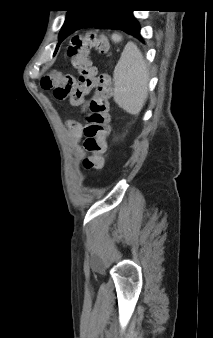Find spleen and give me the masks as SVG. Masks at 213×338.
<instances>
[{"mask_svg": "<svg viewBox=\"0 0 213 338\" xmlns=\"http://www.w3.org/2000/svg\"><path fill=\"white\" fill-rule=\"evenodd\" d=\"M114 101L129 114H139L148 97L149 73L141 51L128 42L114 73Z\"/></svg>", "mask_w": 213, "mask_h": 338, "instance_id": "3e777b00", "label": "spleen"}]
</instances>
